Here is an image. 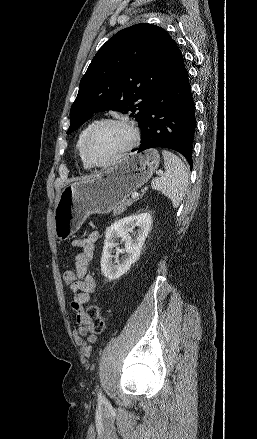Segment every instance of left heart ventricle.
Masks as SVG:
<instances>
[{
    "label": "left heart ventricle",
    "instance_id": "1",
    "mask_svg": "<svg viewBox=\"0 0 257 439\" xmlns=\"http://www.w3.org/2000/svg\"><path fill=\"white\" fill-rule=\"evenodd\" d=\"M130 132L121 125H106L92 138L89 153L97 162H106L118 155L129 143Z\"/></svg>",
    "mask_w": 257,
    "mask_h": 439
}]
</instances>
